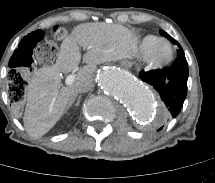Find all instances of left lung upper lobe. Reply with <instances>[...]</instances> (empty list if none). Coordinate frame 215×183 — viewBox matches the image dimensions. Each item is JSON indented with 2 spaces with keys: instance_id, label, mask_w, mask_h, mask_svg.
Wrapping results in <instances>:
<instances>
[{
  "instance_id": "left-lung-upper-lobe-1",
  "label": "left lung upper lobe",
  "mask_w": 215,
  "mask_h": 183,
  "mask_svg": "<svg viewBox=\"0 0 215 183\" xmlns=\"http://www.w3.org/2000/svg\"><path fill=\"white\" fill-rule=\"evenodd\" d=\"M160 33L164 36H166L169 40H171L174 44H177L179 46V50H178V55L179 56H182L184 55V51L183 49L181 48V46L179 45V43L174 40L169 34H167L165 31L161 30Z\"/></svg>"
}]
</instances>
